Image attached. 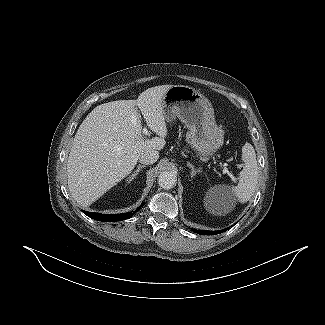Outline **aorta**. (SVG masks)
I'll return each mask as SVG.
<instances>
[{
  "mask_svg": "<svg viewBox=\"0 0 325 325\" xmlns=\"http://www.w3.org/2000/svg\"><path fill=\"white\" fill-rule=\"evenodd\" d=\"M177 177L172 171H164L158 176V184L163 189H171L176 185Z\"/></svg>",
  "mask_w": 325,
  "mask_h": 325,
  "instance_id": "762f6f07",
  "label": "aorta"
}]
</instances>
